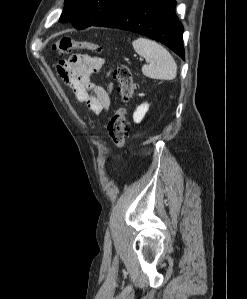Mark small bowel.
<instances>
[{
    "mask_svg": "<svg viewBox=\"0 0 247 299\" xmlns=\"http://www.w3.org/2000/svg\"><path fill=\"white\" fill-rule=\"evenodd\" d=\"M103 66V58L88 54H74L68 59L60 60L57 66L60 77L77 100L94 114L107 111L111 103V85L105 89L91 81L92 75L99 73Z\"/></svg>",
    "mask_w": 247,
    "mask_h": 299,
    "instance_id": "small-bowel-1",
    "label": "small bowel"
}]
</instances>
